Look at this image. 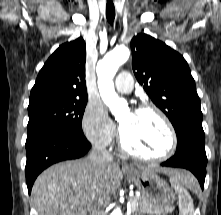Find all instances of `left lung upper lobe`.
I'll return each instance as SVG.
<instances>
[{
	"label": "left lung upper lobe",
	"mask_w": 221,
	"mask_h": 215,
	"mask_svg": "<svg viewBox=\"0 0 221 215\" xmlns=\"http://www.w3.org/2000/svg\"><path fill=\"white\" fill-rule=\"evenodd\" d=\"M131 48L138 82L169 118L176 134L187 126H202L200 99L183 56L144 33L133 37Z\"/></svg>",
	"instance_id": "5c2ea615"
}]
</instances>
